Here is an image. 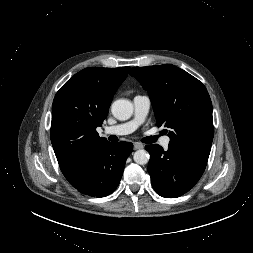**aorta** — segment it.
Instances as JSON below:
<instances>
[{
    "mask_svg": "<svg viewBox=\"0 0 253 253\" xmlns=\"http://www.w3.org/2000/svg\"><path fill=\"white\" fill-rule=\"evenodd\" d=\"M111 112L118 120H127L133 114V104L127 99H118L111 105ZM149 153L144 149H139L134 153L133 159L137 164L145 165L149 161Z\"/></svg>",
    "mask_w": 253,
    "mask_h": 253,
    "instance_id": "1",
    "label": "aorta"
}]
</instances>
